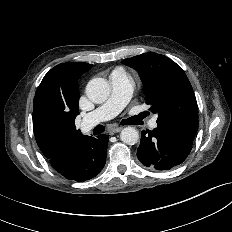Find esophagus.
I'll list each match as a JSON object with an SVG mask.
<instances>
[{
  "instance_id": "34e87169",
  "label": "esophagus",
  "mask_w": 232,
  "mask_h": 232,
  "mask_svg": "<svg viewBox=\"0 0 232 232\" xmlns=\"http://www.w3.org/2000/svg\"><path fill=\"white\" fill-rule=\"evenodd\" d=\"M123 128L122 127H111L110 129H109V133L111 134V135H113V134H115V133H118V132H120L121 130H122Z\"/></svg>"
}]
</instances>
